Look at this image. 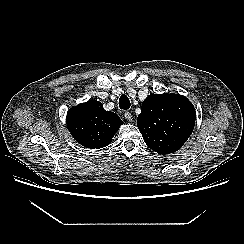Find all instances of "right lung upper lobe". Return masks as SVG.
I'll return each mask as SVG.
<instances>
[{
    "instance_id": "cb5924a9",
    "label": "right lung upper lobe",
    "mask_w": 244,
    "mask_h": 244,
    "mask_svg": "<svg viewBox=\"0 0 244 244\" xmlns=\"http://www.w3.org/2000/svg\"><path fill=\"white\" fill-rule=\"evenodd\" d=\"M69 132L82 146L99 149L110 144L114 134L123 124L119 116L105 111L97 100L72 107L66 118Z\"/></svg>"
}]
</instances>
